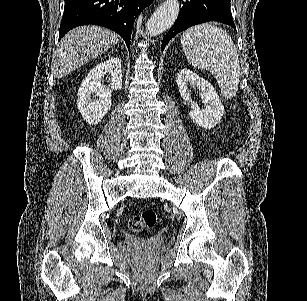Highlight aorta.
Returning <instances> with one entry per match:
<instances>
[{"label":"aorta","instance_id":"aorta-1","mask_svg":"<svg viewBox=\"0 0 307 301\" xmlns=\"http://www.w3.org/2000/svg\"><path fill=\"white\" fill-rule=\"evenodd\" d=\"M180 10L179 0H164L146 22L145 32L157 36L174 24Z\"/></svg>","mask_w":307,"mask_h":301}]
</instances>
